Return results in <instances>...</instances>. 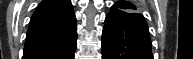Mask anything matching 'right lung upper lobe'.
<instances>
[{
	"label": "right lung upper lobe",
	"instance_id": "obj_1",
	"mask_svg": "<svg viewBox=\"0 0 193 59\" xmlns=\"http://www.w3.org/2000/svg\"><path fill=\"white\" fill-rule=\"evenodd\" d=\"M70 0H44L34 12L24 50L52 47L76 32Z\"/></svg>",
	"mask_w": 193,
	"mask_h": 59
}]
</instances>
